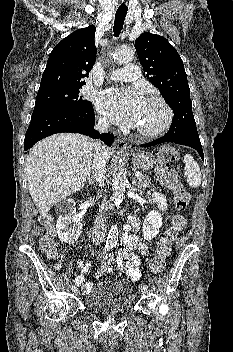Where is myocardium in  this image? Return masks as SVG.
Wrapping results in <instances>:
<instances>
[{
	"label": "myocardium",
	"mask_w": 233,
	"mask_h": 352,
	"mask_svg": "<svg viewBox=\"0 0 233 352\" xmlns=\"http://www.w3.org/2000/svg\"><path fill=\"white\" fill-rule=\"evenodd\" d=\"M145 100H149V101H155L158 104H160L165 112V118L163 120V122L156 128L154 129H150V130H143V129H137L136 128V132L145 138H152V137H156L160 134H162L163 132H165L171 125L172 121H173V110L170 107V105L167 103V101L161 97L160 95L157 94H151L148 95Z\"/></svg>",
	"instance_id": "f54148a6"
}]
</instances>
